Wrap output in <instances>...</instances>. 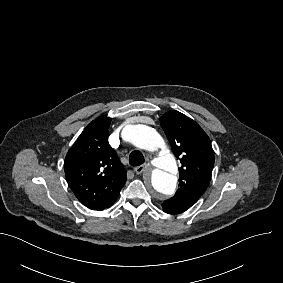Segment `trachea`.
<instances>
[{
    "instance_id": "1",
    "label": "trachea",
    "mask_w": 283,
    "mask_h": 283,
    "mask_svg": "<svg viewBox=\"0 0 283 283\" xmlns=\"http://www.w3.org/2000/svg\"><path fill=\"white\" fill-rule=\"evenodd\" d=\"M145 162L143 154L139 150H134L129 155V164L131 166H140Z\"/></svg>"
}]
</instances>
